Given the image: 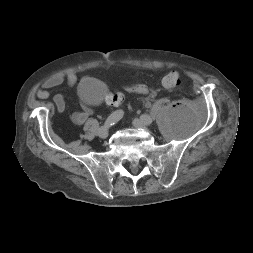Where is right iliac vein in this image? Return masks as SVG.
<instances>
[{
	"label": "right iliac vein",
	"instance_id": "1",
	"mask_svg": "<svg viewBox=\"0 0 253 253\" xmlns=\"http://www.w3.org/2000/svg\"><path fill=\"white\" fill-rule=\"evenodd\" d=\"M108 133H109L108 127H107V126H102V127L99 129L98 136H99L100 138H102V139H105V138H107Z\"/></svg>",
	"mask_w": 253,
	"mask_h": 253
}]
</instances>
